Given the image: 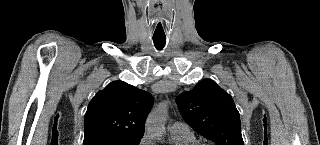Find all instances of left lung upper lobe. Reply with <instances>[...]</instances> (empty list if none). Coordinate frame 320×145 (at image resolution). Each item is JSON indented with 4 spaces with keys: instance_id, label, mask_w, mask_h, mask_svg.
I'll use <instances>...</instances> for the list:
<instances>
[{
    "instance_id": "5c2ea615",
    "label": "left lung upper lobe",
    "mask_w": 320,
    "mask_h": 145,
    "mask_svg": "<svg viewBox=\"0 0 320 145\" xmlns=\"http://www.w3.org/2000/svg\"><path fill=\"white\" fill-rule=\"evenodd\" d=\"M176 102L184 120L216 145H244L239 112L231 96L213 80L199 82Z\"/></svg>"
}]
</instances>
